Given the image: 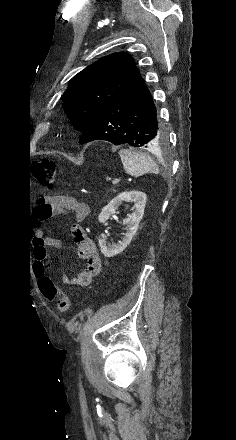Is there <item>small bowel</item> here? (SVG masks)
I'll list each match as a JSON object with an SVG mask.
<instances>
[{"label": "small bowel", "instance_id": "obj_1", "mask_svg": "<svg viewBox=\"0 0 236 440\" xmlns=\"http://www.w3.org/2000/svg\"><path fill=\"white\" fill-rule=\"evenodd\" d=\"M64 212L73 214L76 223L71 228L72 239L76 246L77 254L86 261L85 269L75 277H69L62 274V282L68 286L85 287L92 283L94 278L101 271V258L97 252L94 242L87 236L84 229L78 224L84 220L88 213L89 207L86 203L79 202L70 196L54 195L42 196L37 199V207L35 211V221L41 222L54 215ZM36 246H47L51 248H59L61 243L53 237H44L43 233L36 231L34 234ZM45 251L44 247H37L35 251L34 275L38 280V286L45 274Z\"/></svg>", "mask_w": 236, "mask_h": 440}]
</instances>
